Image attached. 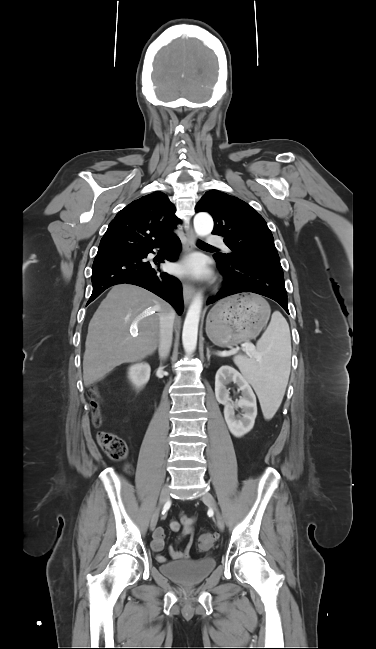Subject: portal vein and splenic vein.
Here are the masks:
<instances>
[{"mask_svg": "<svg viewBox=\"0 0 376 649\" xmlns=\"http://www.w3.org/2000/svg\"><path fill=\"white\" fill-rule=\"evenodd\" d=\"M244 348H245L247 351H251L250 346H246V345H245ZM236 352H237V349H233V350L230 351V354H235Z\"/></svg>", "mask_w": 376, "mask_h": 649, "instance_id": "portal-vein-and-splenic-vein-1", "label": "portal vein and splenic vein"}]
</instances>
